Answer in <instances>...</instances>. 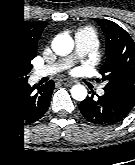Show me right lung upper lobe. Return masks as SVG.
<instances>
[{"label":"right lung upper lobe","instance_id":"cb5924a9","mask_svg":"<svg viewBox=\"0 0 135 165\" xmlns=\"http://www.w3.org/2000/svg\"><path fill=\"white\" fill-rule=\"evenodd\" d=\"M46 21H17L0 26V73H22L23 81L32 69L31 61L36 57L39 38Z\"/></svg>","mask_w":135,"mask_h":165}]
</instances>
